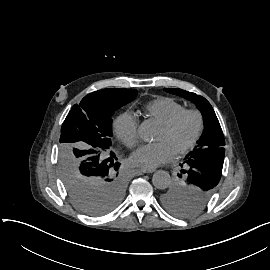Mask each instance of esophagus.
<instances>
[{
  "label": "esophagus",
  "instance_id": "obj_1",
  "mask_svg": "<svg viewBox=\"0 0 270 270\" xmlns=\"http://www.w3.org/2000/svg\"><path fill=\"white\" fill-rule=\"evenodd\" d=\"M140 171L142 173H152V172L155 171V168H153V167H146V168H142Z\"/></svg>",
  "mask_w": 270,
  "mask_h": 270
}]
</instances>
